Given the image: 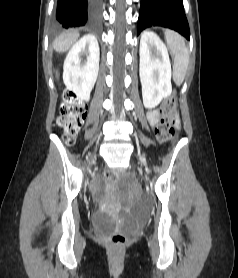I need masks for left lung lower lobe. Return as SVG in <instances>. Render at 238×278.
<instances>
[{"mask_svg":"<svg viewBox=\"0 0 238 278\" xmlns=\"http://www.w3.org/2000/svg\"><path fill=\"white\" fill-rule=\"evenodd\" d=\"M150 26L171 28L190 39L182 0H141L137 35Z\"/></svg>","mask_w":238,"mask_h":278,"instance_id":"obj_1","label":"left lung lower lobe"}]
</instances>
